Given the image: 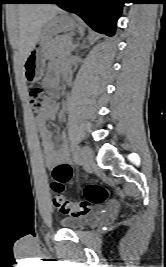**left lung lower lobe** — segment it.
<instances>
[{
	"instance_id": "1",
	"label": "left lung lower lobe",
	"mask_w": 166,
	"mask_h": 267,
	"mask_svg": "<svg viewBox=\"0 0 166 267\" xmlns=\"http://www.w3.org/2000/svg\"><path fill=\"white\" fill-rule=\"evenodd\" d=\"M39 3H56L62 9L80 16L95 31L113 36L125 2L124 0H42Z\"/></svg>"
}]
</instances>
